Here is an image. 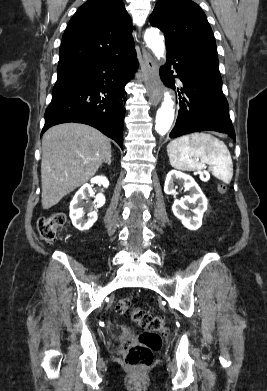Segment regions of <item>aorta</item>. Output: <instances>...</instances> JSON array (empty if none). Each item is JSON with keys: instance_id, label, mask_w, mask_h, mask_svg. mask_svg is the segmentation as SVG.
<instances>
[{"instance_id": "obj_1", "label": "aorta", "mask_w": 267, "mask_h": 391, "mask_svg": "<svg viewBox=\"0 0 267 391\" xmlns=\"http://www.w3.org/2000/svg\"><path fill=\"white\" fill-rule=\"evenodd\" d=\"M144 40L147 46L158 57H163L165 53L164 37L160 35L158 29L149 28L145 31ZM174 101L170 92L164 93V100L156 114L155 130L160 135H165L174 120Z\"/></svg>"}]
</instances>
